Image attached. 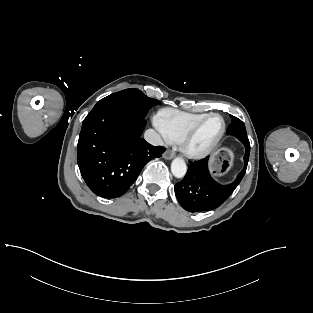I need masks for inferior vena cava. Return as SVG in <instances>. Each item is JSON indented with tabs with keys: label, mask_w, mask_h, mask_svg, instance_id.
<instances>
[{
	"label": "inferior vena cava",
	"mask_w": 313,
	"mask_h": 313,
	"mask_svg": "<svg viewBox=\"0 0 313 313\" xmlns=\"http://www.w3.org/2000/svg\"><path fill=\"white\" fill-rule=\"evenodd\" d=\"M145 140L154 146L163 145V140L160 135L153 129H148L144 133Z\"/></svg>",
	"instance_id": "obj_1"
}]
</instances>
